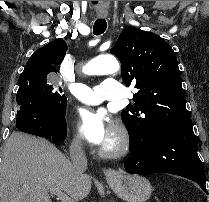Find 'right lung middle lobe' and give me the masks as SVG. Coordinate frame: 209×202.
<instances>
[{"label": "right lung middle lobe", "mask_w": 209, "mask_h": 202, "mask_svg": "<svg viewBox=\"0 0 209 202\" xmlns=\"http://www.w3.org/2000/svg\"><path fill=\"white\" fill-rule=\"evenodd\" d=\"M61 93V88L50 83L49 74L20 75L19 90L16 96L17 112L24 106L22 97L25 95L27 100L35 107L51 114L65 116L67 100Z\"/></svg>", "instance_id": "right-lung-middle-lobe-1"}]
</instances>
